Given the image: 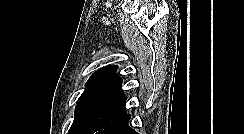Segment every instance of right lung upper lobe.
<instances>
[{
  "instance_id": "1",
  "label": "right lung upper lobe",
  "mask_w": 244,
  "mask_h": 134,
  "mask_svg": "<svg viewBox=\"0 0 244 134\" xmlns=\"http://www.w3.org/2000/svg\"><path fill=\"white\" fill-rule=\"evenodd\" d=\"M116 70L117 66L108 65L94 72L87 81L86 90L79 97L77 106L103 100L126 101L121 88L122 79L116 74Z\"/></svg>"
}]
</instances>
